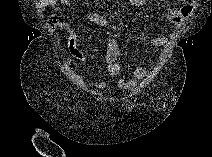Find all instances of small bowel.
Returning a JSON list of instances; mask_svg holds the SVG:
<instances>
[{
    "label": "small bowel",
    "instance_id": "small-bowel-1",
    "mask_svg": "<svg viewBox=\"0 0 212 157\" xmlns=\"http://www.w3.org/2000/svg\"><path fill=\"white\" fill-rule=\"evenodd\" d=\"M70 0H40L38 3L39 12L44 14L46 8L54 7L58 3L63 5L69 4ZM194 10V3L191 1L186 2L179 8L170 9L166 13V20L174 25L180 27L188 18L191 17ZM87 18L93 23L108 29L109 22L107 18L101 13H88ZM48 27L51 31L57 28H62L68 34V48L70 53L79 60H86L87 56L85 52L78 46V33L75 28L69 24L62 16L53 14L48 18ZM169 42L167 37H157L151 40L150 45L152 47H162ZM119 48L117 41L114 38L107 40V53L105 57L106 68L109 76L118 77L117 87L121 90L133 88L137 85L138 80L145 79L156 68L158 61L153 60L146 66H137L132 71V76H127L122 68L121 62L118 61ZM90 86L97 90H103L106 88L104 81H90Z\"/></svg>",
    "mask_w": 212,
    "mask_h": 157
}]
</instances>
